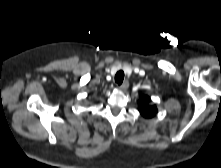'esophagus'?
Returning a JSON list of instances; mask_svg holds the SVG:
<instances>
[{
    "label": "esophagus",
    "mask_w": 221,
    "mask_h": 168,
    "mask_svg": "<svg viewBox=\"0 0 221 168\" xmlns=\"http://www.w3.org/2000/svg\"><path fill=\"white\" fill-rule=\"evenodd\" d=\"M128 86H129V83L127 81H125L119 86V88L121 90H126L128 88Z\"/></svg>",
    "instance_id": "obj_1"
}]
</instances>
